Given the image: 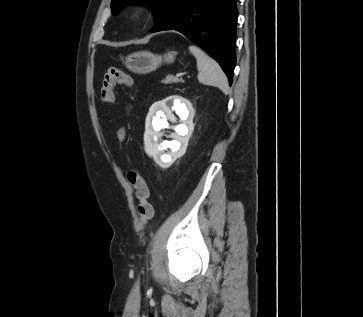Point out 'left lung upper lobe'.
Masks as SVG:
<instances>
[{"label": "left lung upper lobe", "instance_id": "obj_1", "mask_svg": "<svg viewBox=\"0 0 363 317\" xmlns=\"http://www.w3.org/2000/svg\"><path fill=\"white\" fill-rule=\"evenodd\" d=\"M168 0H112L111 7L112 13L115 14L121 6L128 3H139L148 5L153 9L155 19L159 16L163 8L165 7Z\"/></svg>", "mask_w": 363, "mask_h": 317}]
</instances>
